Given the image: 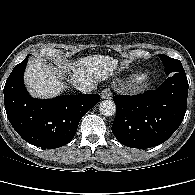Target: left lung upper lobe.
I'll list each match as a JSON object with an SVG mask.
<instances>
[{
    "mask_svg": "<svg viewBox=\"0 0 195 195\" xmlns=\"http://www.w3.org/2000/svg\"><path fill=\"white\" fill-rule=\"evenodd\" d=\"M159 57L165 67L166 74H173L175 72H185L179 60L170 58L164 54H159Z\"/></svg>",
    "mask_w": 195,
    "mask_h": 195,
    "instance_id": "obj_1",
    "label": "left lung upper lobe"
}]
</instances>
